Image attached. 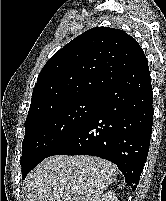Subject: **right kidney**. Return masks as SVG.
<instances>
[{
    "mask_svg": "<svg viewBox=\"0 0 166 201\" xmlns=\"http://www.w3.org/2000/svg\"><path fill=\"white\" fill-rule=\"evenodd\" d=\"M98 201H119L114 191H108Z\"/></svg>",
    "mask_w": 166,
    "mask_h": 201,
    "instance_id": "1",
    "label": "right kidney"
}]
</instances>
